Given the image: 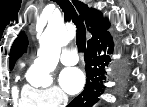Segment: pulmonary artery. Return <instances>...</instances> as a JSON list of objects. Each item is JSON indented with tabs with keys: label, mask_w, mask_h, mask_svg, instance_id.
<instances>
[{
	"label": "pulmonary artery",
	"mask_w": 147,
	"mask_h": 107,
	"mask_svg": "<svg viewBox=\"0 0 147 107\" xmlns=\"http://www.w3.org/2000/svg\"><path fill=\"white\" fill-rule=\"evenodd\" d=\"M64 65H74L78 62V56L74 49H66L60 58Z\"/></svg>",
	"instance_id": "1"
}]
</instances>
